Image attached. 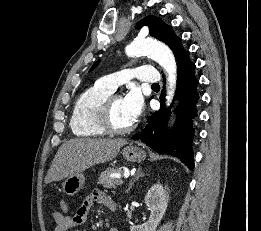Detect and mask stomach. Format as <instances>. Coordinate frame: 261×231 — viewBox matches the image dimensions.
I'll list each match as a JSON object with an SVG mask.
<instances>
[{"label": "stomach", "mask_w": 261, "mask_h": 231, "mask_svg": "<svg viewBox=\"0 0 261 231\" xmlns=\"http://www.w3.org/2000/svg\"><path fill=\"white\" fill-rule=\"evenodd\" d=\"M121 154L129 162H141L146 158V153L141 148L132 145L123 148ZM84 183V174L76 173L65 180L63 192L68 196H73L83 188Z\"/></svg>", "instance_id": "obj_1"}]
</instances>
